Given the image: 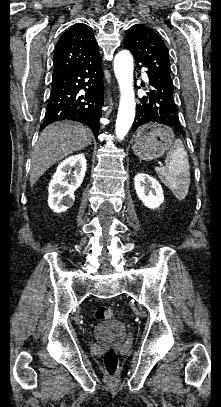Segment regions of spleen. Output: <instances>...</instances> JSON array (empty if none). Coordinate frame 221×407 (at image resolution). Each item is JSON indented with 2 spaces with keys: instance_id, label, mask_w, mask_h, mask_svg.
Masks as SVG:
<instances>
[{
  "instance_id": "1",
  "label": "spleen",
  "mask_w": 221,
  "mask_h": 407,
  "mask_svg": "<svg viewBox=\"0 0 221 407\" xmlns=\"http://www.w3.org/2000/svg\"><path fill=\"white\" fill-rule=\"evenodd\" d=\"M165 167H155L162 182L178 200H183L190 186V166L183 142L176 139L165 160Z\"/></svg>"
}]
</instances>
